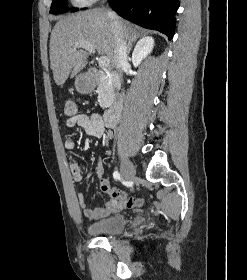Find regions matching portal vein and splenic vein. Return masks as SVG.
<instances>
[{
	"instance_id": "18ae733b",
	"label": "portal vein and splenic vein",
	"mask_w": 247,
	"mask_h": 280,
	"mask_svg": "<svg viewBox=\"0 0 247 280\" xmlns=\"http://www.w3.org/2000/svg\"><path fill=\"white\" fill-rule=\"evenodd\" d=\"M79 47H82L84 48L85 50L89 51L90 53H95L96 52V49L93 45L91 44H88V43H80V44H76L73 49H76V48H79ZM98 64L101 68H106L109 66L110 62H109V59L108 57L106 56H101L99 57L98 59Z\"/></svg>"
}]
</instances>
